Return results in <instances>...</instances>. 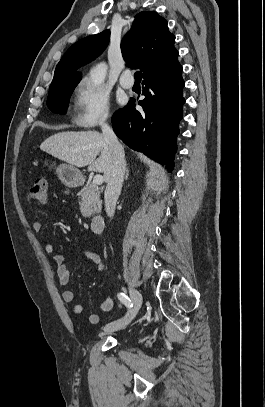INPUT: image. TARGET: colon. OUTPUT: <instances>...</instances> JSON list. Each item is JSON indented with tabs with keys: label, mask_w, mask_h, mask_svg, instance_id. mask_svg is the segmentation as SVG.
<instances>
[{
	"label": "colon",
	"mask_w": 265,
	"mask_h": 407,
	"mask_svg": "<svg viewBox=\"0 0 265 407\" xmlns=\"http://www.w3.org/2000/svg\"><path fill=\"white\" fill-rule=\"evenodd\" d=\"M30 197L38 202H46L48 199V185L44 178H38L34 181L30 189Z\"/></svg>",
	"instance_id": "obj_1"
}]
</instances>
